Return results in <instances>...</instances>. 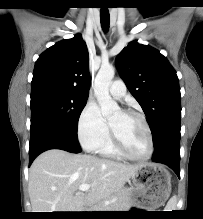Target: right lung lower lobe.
Wrapping results in <instances>:
<instances>
[{
  "mask_svg": "<svg viewBox=\"0 0 203 219\" xmlns=\"http://www.w3.org/2000/svg\"><path fill=\"white\" fill-rule=\"evenodd\" d=\"M29 165L42 152L49 149H62L72 153L81 152L77 140L57 133L55 130L37 125L30 129Z\"/></svg>",
  "mask_w": 203,
  "mask_h": 219,
  "instance_id": "98d812e1",
  "label": "right lung lower lobe"
}]
</instances>
